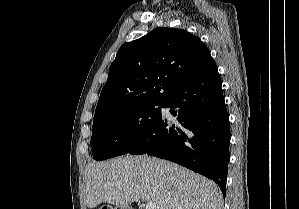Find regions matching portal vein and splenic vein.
Returning <instances> with one entry per match:
<instances>
[{
    "mask_svg": "<svg viewBox=\"0 0 299 209\" xmlns=\"http://www.w3.org/2000/svg\"><path fill=\"white\" fill-rule=\"evenodd\" d=\"M145 209H156V205L153 202H147L145 204Z\"/></svg>",
    "mask_w": 299,
    "mask_h": 209,
    "instance_id": "obj_1",
    "label": "portal vein and splenic vein"
}]
</instances>
